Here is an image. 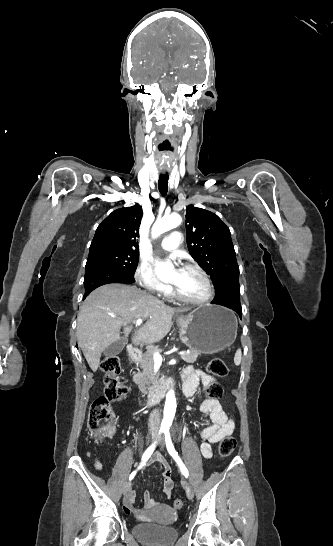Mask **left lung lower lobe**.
<instances>
[{
  "label": "left lung lower lobe",
  "mask_w": 333,
  "mask_h": 546,
  "mask_svg": "<svg viewBox=\"0 0 333 546\" xmlns=\"http://www.w3.org/2000/svg\"><path fill=\"white\" fill-rule=\"evenodd\" d=\"M212 304H218L234 310L239 317H242V308L240 304V285L239 283H233L227 285L223 290L216 294L215 298L211 302Z\"/></svg>",
  "instance_id": "1"
}]
</instances>
